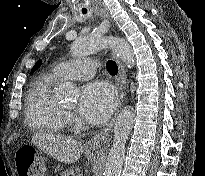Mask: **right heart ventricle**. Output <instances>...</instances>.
I'll return each mask as SVG.
<instances>
[{"label":"right heart ventricle","mask_w":205,"mask_h":176,"mask_svg":"<svg viewBox=\"0 0 205 176\" xmlns=\"http://www.w3.org/2000/svg\"><path fill=\"white\" fill-rule=\"evenodd\" d=\"M60 80L54 73L39 75L26 96V123L37 132L60 135L66 122V113L53 98L54 85Z\"/></svg>","instance_id":"e07e8e85"}]
</instances>
